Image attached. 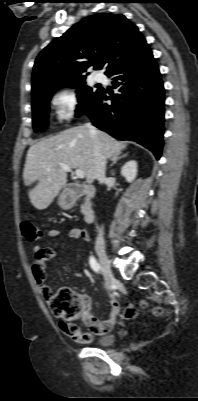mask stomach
<instances>
[{
    "instance_id": "1",
    "label": "stomach",
    "mask_w": 198,
    "mask_h": 401,
    "mask_svg": "<svg viewBox=\"0 0 198 401\" xmlns=\"http://www.w3.org/2000/svg\"><path fill=\"white\" fill-rule=\"evenodd\" d=\"M58 204H59V206H60L61 208L67 210V209H70V208L73 206L74 201H73V199H72L70 196H68L67 194L61 193L60 196H59V198H58Z\"/></svg>"
}]
</instances>
